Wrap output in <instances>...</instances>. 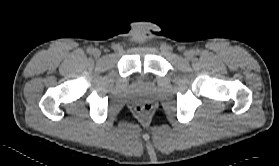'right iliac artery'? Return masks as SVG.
<instances>
[{
    "instance_id": "1",
    "label": "right iliac artery",
    "mask_w": 279,
    "mask_h": 166,
    "mask_svg": "<svg viewBox=\"0 0 279 166\" xmlns=\"http://www.w3.org/2000/svg\"><path fill=\"white\" fill-rule=\"evenodd\" d=\"M93 50H94V49H93L92 47H89V48L87 49V52H88V53H92Z\"/></svg>"
}]
</instances>
